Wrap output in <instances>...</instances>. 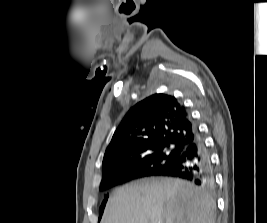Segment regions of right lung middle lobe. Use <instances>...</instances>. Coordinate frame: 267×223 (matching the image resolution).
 <instances>
[{
    "instance_id": "right-lung-middle-lobe-1",
    "label": "right lung middle lobe",
    "mask_w": 267,
    "mask_h": 223,
    "mask_svg": "<svg viewBox=\"0 0 267 223\" xmlns=\"http://www.w3.org/2000/svg\"><path fill=\"white\" fill-rule=\"evenodd\" d=\"M180 152L176 147H163L158 152L151 153L147 155L141 162L139 161L137 165L139 168L137 172L144 174H156L159 171L165 170L172 166L177 160ZM103 186H100L102 189ZM108 199V195L105 196V199L100 208V216L103 212V208Z\"/></svg>"
}]
</instances>
